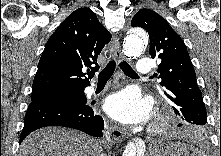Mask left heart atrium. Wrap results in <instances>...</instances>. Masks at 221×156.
<instances>
[{"mask_svg": "<svg viewBox=\"0 0 221 156\" xmlns=\"http://www.w3.org/2000/svg\"><path fill=\"white\" fill-rule=\"evenodd\" d=\"M104 110L113 120L133 126L147 123L152 116L153 106L138 90L125 88L106 98Z\"/></svg>", "mask_w": 221, "mask_h": 156, "instance_id": "1", "label": "left heart atrium"}]
</instances>
